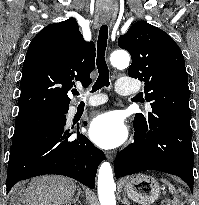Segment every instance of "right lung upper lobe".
<instances>
[{"instance_id": "cb5924a9", "label": "right lung upper lobe", "mask_w": 199, "mask_h": 205, "mask_svg": "<svg viewBox=\"0 0 199 205\" xmlns=\"http://www.w3.org/2000/svg\"><path fill=\"white\" fill-rule=\"evenodd\" d=\"M95 68V45L87 42L75 18L43 28L26 53L18 99L20 115L69 108L76 81L88 86Z\"/></svg>"}]
</instances>
